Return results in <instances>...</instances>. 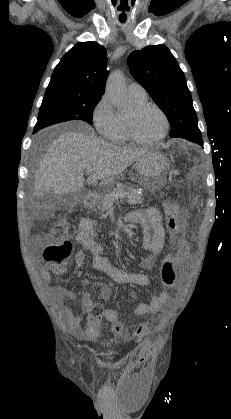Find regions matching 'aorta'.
Instances as JSON below:
<instances>
[{"instance_id":"762f6f07","label":"aorta","mask_w":231,"mask_h":419,"mask_svg":"<svg viewBox=\"0 0 231 419\" xmlns=\"http://www.w3.org/2000/svg\"><path fill=\"white\" fill-rule=\"evenodd\" d=\"M106 93L117 107H123L126 102L124 77L120 72L112 73L106 84Z\"/></svg>"}]
</instances>
